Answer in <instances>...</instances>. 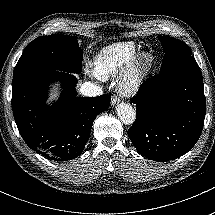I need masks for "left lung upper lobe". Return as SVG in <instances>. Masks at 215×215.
Here are the masks:
<instances>
[{"label": "left lung upper lobe", "mask_w": 215, "mask_h": 215, "mask_svg": "<svg viewBox=\"0 0 215 215\" xmlns=\"http://www.w3.org/2000/svg\"><path fill=\"white\" fill-rule=\"evenodd\" d=\"M159 40L165 52L161 65V72L180 63L195 60L191 55L192 51L190 47L184 42L167 36L160 37Z\"/></svg>", "instance_id": "left-lung-upper-lobe-1"}]
</instances>
